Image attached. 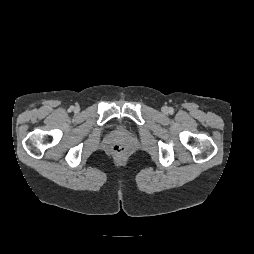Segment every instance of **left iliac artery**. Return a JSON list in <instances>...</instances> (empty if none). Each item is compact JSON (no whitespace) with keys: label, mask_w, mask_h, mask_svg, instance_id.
Segmentation results:
<instances>
[{"label":"left iliac artery","mask_w":254,"mask_h":254,"mask_svg":"<svg viewBox=\"0 0 254 254\" xmlns=\"http://www.w3.org/2000/svg\"><path fill=\"white\" fill-rule=\"evenodd\" d=\"M174 112V109L172 107L169 108V113H173Z\"/></svg>","instance_id":"left-iliac-artery-1"}]
</instances>
